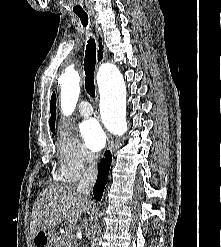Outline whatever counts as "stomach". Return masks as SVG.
<instances>
[{"instance_id": "stomach-1", "label": "stomach", "mask_w": 221, "mask_h": 247, "mask_svg": "<svg viewBox=\"0 0 221 247\" xmlns=\"http://www.w3.org/2000/svg\"><path fill=\"white\" fill-rule=\"evenodd\" d=\"M54 237L50 231H39L32 238L34 247H51Z\"/></svg>"}]
</instances>
